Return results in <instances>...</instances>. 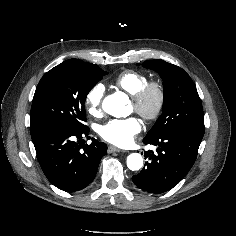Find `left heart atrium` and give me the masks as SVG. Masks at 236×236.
Returning a JSON list of instances; mask_svg holds the SVG:
<instances>
[{
    "instance_id": "39dd6f15",
    "label": "left heart atrium",
    "mask_w": 236,
    "mask_h": 236,
    "mask_svg": "<svg viewBox=\"0 0 236 236\" xmlns=\"http://www.w3.org/2000/svg\"><path fill=\"white\" fill-rule=\"evenodd\" d=\"M141 131V123L135 117L115 119L100 127V136L107 142L120 147L130 145Z\"/></svg>"
}]
</instances>
